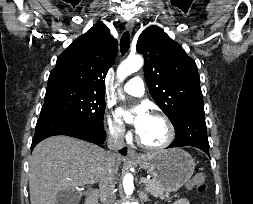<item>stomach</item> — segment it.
I'll return each instance as SVG.
<instances>
[{
    "label": "stomach",
    "mask_w": 253,
    "mask_h": 204,
    "mask_svg": "<svg viewBox=\"0 0 253 204\" xmlns=\"http://www.w3.org/2000/svg\"><path fill=\"white\" fill-rule=\"evenodd\" d=\"M134 162L167 192L177 191L186 184L195 169L193 158L179 148L141 154Z\"/></svg>",
    "instance_id": "obj_1"
}]
</instances>
